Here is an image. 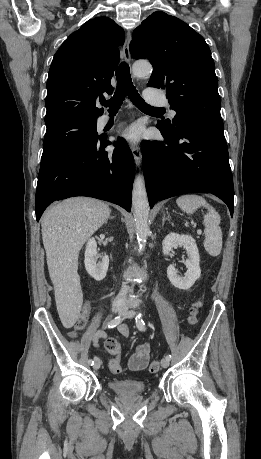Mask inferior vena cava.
<instances>
[{"label": "inferior vena cava", "instance_id": "obj_1", "mask_svg": "<svg viewBox=\"0 0 261 459\" xmlns=\"http://www.w3.org/2000/svg\"><path fill=\"white\" fill-rule=\"evenodd\" d=\"M128 290H129L128 286L125 283H123L122 284V288L120 290V293L116 297V301L119 302V303L124 302L126 300V296H127Z\"/></svg>", "mask_w": 261, "mask_h": 459}]
</instances>
